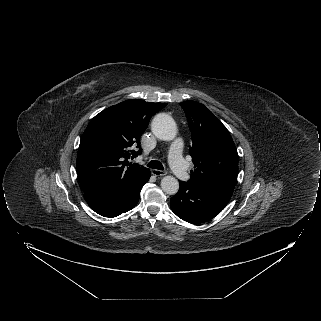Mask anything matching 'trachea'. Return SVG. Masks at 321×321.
<instances>
[{
  "instance_id": "3493384b",
  "label": "trachea",
  "mask_w": 321,
  "mask_h": 321,
  "mask_svg": "<svg viewBox=\"0 0 321 321\" xmlns=\"http://www.w3.org/2000/svg\"><path fill=\"white\" fill-rule=\"evenodd\" d=\"M147 166H148L149 168H152V169H158V170H163V169H164L162 163L159 162V161H157V160H152V161H150V162L147 164Z\"/></svg>"
}]
</instances>
